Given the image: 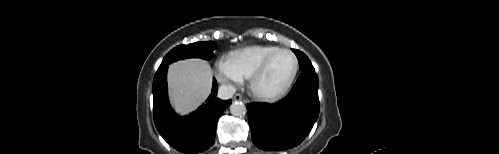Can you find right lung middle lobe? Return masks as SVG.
<instances>
[{
  "instance_id": "1",
  "label": "right lung middle lobe",
  "mask_w": 499,
  "mask_h": 154,
  "mask_svg": "<svg viewBox=\"0 0 499 154\" xmlns=\"http://www.w3.org/2000/svg\"><path fill=\"white\" fill-rule=\"evenodd\" d=\"M215 42H196L190 45H180L171 50L163 59L160 67L168 66L170 63L191 57H199L210 60L213 58Z\"/></svg>"
}]
</instances>
